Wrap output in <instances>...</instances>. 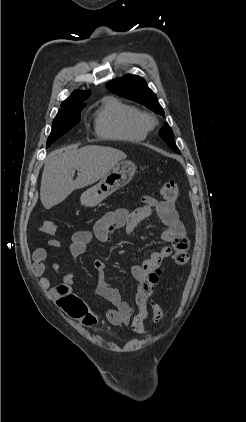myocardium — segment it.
<instances>
[{"label":"myocardium","mask_w":246,"mask_h":422,"mask_svg":"<svg viewBox=\"0 0 246 422\" xmlns=\"http://www.w3.org/2000/svg\"><path fill=\"white\" fill-rule=\"evenodd\" d=\"M141 122L147 130H151L155 127L157 120L152 114L141 113Z\"/></svg>","instance_id":"1"}]
</instances>
